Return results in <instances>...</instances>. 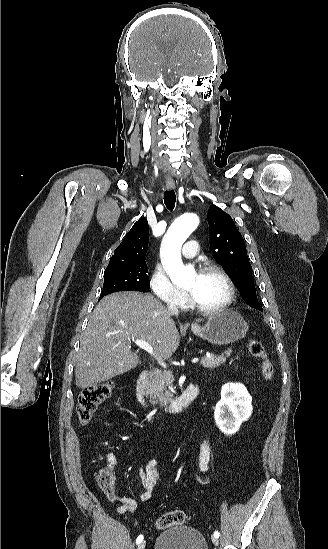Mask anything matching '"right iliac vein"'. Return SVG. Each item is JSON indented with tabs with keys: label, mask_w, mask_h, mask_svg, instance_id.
Returning a JSON list of instances; mask_svg holds the SVG:
<instances>
[{
	"label": "right iliac vein",
	"mask_w": 328,
	"mask_h": 549,
	"mask_svg": "<svg viewBox=\"0 0 328 549\" xmlns=\"http://www.w3.org/2000/svg\"><path fill=\"white\" fill-rule=\"evenodd\" d=\"M145 545H146V541L143 540V541H141V542L139 543L137 549H145Z\"/></svg>",
	"instance_id": "right-iliac-vein-1"
}]
</instances>
